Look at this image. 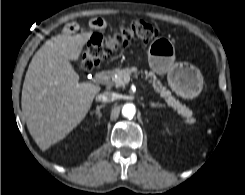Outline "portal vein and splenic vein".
I'll list each match as a JSON object with an SVG mask.
<instances>
[{
  "label": "portal vein and splenic vein",
  "mask_w": 245,
  "mask_h": 195,
  "mask_svg": "<svg viewBox=\"0 0 245 195\" xmlns=\"http://www.w3.org/2000/svg\"><path fill=\"white\" fill-rule=\"evenodd\" d=\"M129 80H130V77L126 78V79H125L126 83H128Z\"/></svg>",
  "instance_id": "1"
}]
</instances>
